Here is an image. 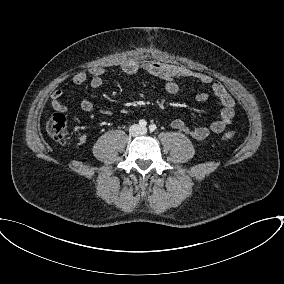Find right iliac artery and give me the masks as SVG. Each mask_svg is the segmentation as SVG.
<instances>
[{
	"mask_svg": "<svg viewBox=\"0 0 284 284\" xmlns=\"http://www.w3.org/2000/svg\"><path fill=\"white\" fill-rule=\"evenodd\" d=\"M139 125H140L141 127H145V126L147 125V122H146L144 119H141V120L139 121Z\"/></svg>",
	"mask_w": 284,
	"mask_h": 284,
	"instance_id": "1",
	"label": "right iliac artery"
}]
</instances>
